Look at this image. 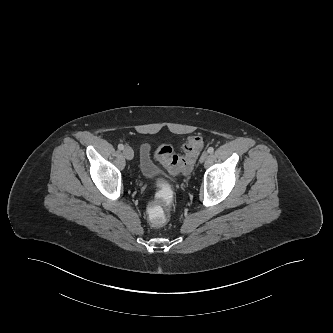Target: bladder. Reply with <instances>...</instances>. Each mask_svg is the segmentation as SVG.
<instances>
[{"mask_svg":"<svg viewBox=\"0 0 333 333\" xmlns=\"http://www.w3.org/2000/svg\"><path fill=\"white\" fill-rule=\"evenodd\" d=\"M139 170L144 178L154 180L158 177L159 169L150 156V145L143 143L140 147Z\"/></svg>","mask_w":333,"mask_h":333,"instance_id":"31cf9c89","label":"bladder"}]
</instances>
